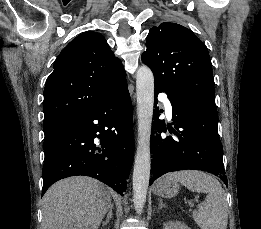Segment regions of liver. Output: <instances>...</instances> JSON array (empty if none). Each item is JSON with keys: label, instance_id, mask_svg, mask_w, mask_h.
<instances>
[{"label": "liver", "instance_id": "1", "mask_svg": "<svg viewBox=\"0 0 261 229\" xmlns=\"http://www.w3.org/2000/svg\"><path fill=\"white\" fill-rule=\"evenodd\" d=\"M41 229H98L111 197L91 177H69L52 185L42 199Z\"/></svg>", "mask_w": 261, "mask_h": 229}]
</instances>
